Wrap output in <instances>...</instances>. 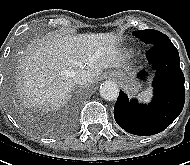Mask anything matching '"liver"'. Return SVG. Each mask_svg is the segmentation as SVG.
Instances as JSON below:
<instances>
[{"instance_id": "liver-1", "label": "liver", "mask_w": 190, "mask_h": 165, "mask_svg": "<svg viewBox=\"0 0 190 165\" xmlns=\"http://www.w3.org/2000/svg\"><path fill=\"white\" fill-rule=\"evenodd\" d=\"M113 33H55L34 43L18 66L24 104L40 109H57L76 85L73 73L87 70L92 82L104 69L122 64Z\"/></svg>"}]
</instances>
